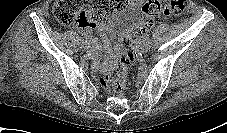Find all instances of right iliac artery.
Wrapping results in <instances>:
<instances>
[{
  "instance_id": "obj_1",
  "label": "right iliac artery",
  "mask_w": 227,
  "mask_h": 133,
  "mask_svg": "<svg viewBox=\"0 0 227 133\" xmlns=\"http://www.w3.org/2000/svg\"><path fill=\"white\" fill-rule=\"evenodd\" d=\"M84 43V39H82V44Z\"/></svg>"
}]
</instances>
